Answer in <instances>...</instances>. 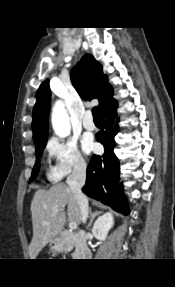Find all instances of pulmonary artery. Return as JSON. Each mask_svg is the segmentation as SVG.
I'll return each mask as SVG.
<instances>
[{
  "label": "pulmonary artery",
  "instance_id": "1",
  "mask_svg": "<svg viewBox=\"0 0 175 287\" xmlns=\"http://www.w3.org/2000/svg\"><path fill=\"white\" fill-rule=\"evenodd\" d=\"M83 126L88 130L95 129V123L93 121L92 115L90 112H87L83 118Z\"/></svg>",
  "mask_w": 175,
  "mask_h": 287
}]
</instances>
